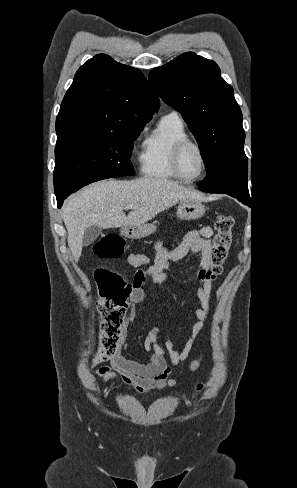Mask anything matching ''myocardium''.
Here are the masks:
<instances>
[{
  "mask_svg": "<svg viewBox=\"0 0 297 488\" xmlns=\"http://www.w3.org/2000/svg\"><path fill=\"white\" fill-rule=\"evenodd\" d=\"M187 146L195 147L201 156L202 168H201V171L194 177L185 176L180 169V157H181L182 152L184 151V149ZM170 165H171V168H172V171L174 172V174L178 178H180L181 180H184L186 182L197 181L200 178H202L203 175L207 171V157H206L205 150L203 149V147L198 142H196L193 139H190L189 137L181 139L174 145V147L172 149L171 158H170Z\"/></svg>",
  "mask_w": 297,
  "mask_h": 488,
  "instance_id": "f54148a6",
  "label": "myocardium"
}]
</instances>
